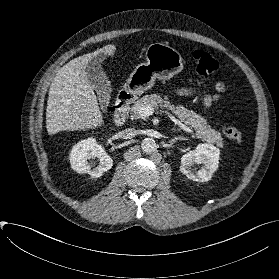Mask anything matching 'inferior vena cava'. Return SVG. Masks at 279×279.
Segmentation results:
<instances>
[{"label":"inferior vena cava","instance_id":"inferior-vena-cava-1","mask_svg":"<svg viewBox=\"0 0 279 279\" xmlns=\"http://www.w3.org/2000/svg\"><path fill=\"white\" fill-rule=\"evenodd\" d=\"M137 135V130L135 128H126L121 132V137L124 139H130Z\"/></svg>","mask_w":279,"mask_h":279}]
</instances>
